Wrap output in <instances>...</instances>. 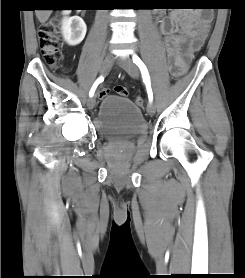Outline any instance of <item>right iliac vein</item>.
<instances>
[{
    "instance_id": "1",
    "label": "right iliac vein",
    "mask_w": 245,
    "mask_h": 278,
    "mask_svg": "<svg viewBox=\"0 0 245 278\" xmlns=\"http://www.w3.org/2000/svg\"><path fill=\"white\" fill-rule=\"evenodd\" d=\"M113 62H114V57H113V55H112V54H108V55L105 57V59H104L102 65H101L100 74H101V75H105L106 72L108 71V69L112 66ZM95 103H96V102H95V98H94V97H91V98L88 99L87 105H88V107H89L90 109H93V108L95 107Z\"/></svg>"
}]
</instances>
